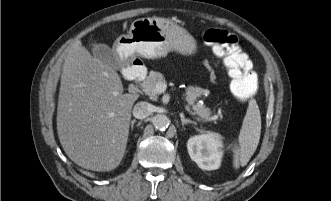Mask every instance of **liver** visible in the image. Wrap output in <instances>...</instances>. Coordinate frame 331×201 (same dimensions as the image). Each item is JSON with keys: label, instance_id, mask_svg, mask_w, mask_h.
<instances>
[{"label": "liver", "instance_id": "obj_1", "mask_svg": "<svg viewBox=\"0 0 331 201\" xmlns=\"http://www.w3.org/2000/svg\"><path fill=\"white\" fill-rule=\"evenodd\" d=\"M138 94H123L118 73L82 45L65 57L57 107V132L78 166L111 171L126 150L131 111Z\"/></svg>", "mask_w": 331, "mask_h": 201}]
</instances>
